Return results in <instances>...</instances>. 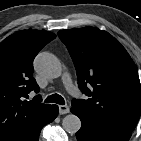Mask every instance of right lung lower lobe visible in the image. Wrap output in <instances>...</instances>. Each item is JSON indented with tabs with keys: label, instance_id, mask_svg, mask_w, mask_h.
<instances>
[{
	"label": "right lung lower lobe",
	"instance_id": "98d812e1",
	"mask_svg": "<svg viewBox=\"0 0 141 141\" xmlns=\"http://www.w3.org/2000/svg\"><path fill=\"white\" fill-rule=\"evenodd\" d=\"M58 111V106L51 105L47 115L42 120H40L24 138L20 139L19 141H38L41 129L57 117Z\"/></svg>",
	"mask_w": 141,
	"mask_h": 141
}]
</instances>
